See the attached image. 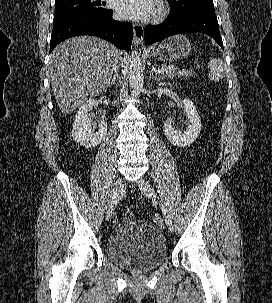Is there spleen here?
Listing matches in <instances>:
<instances>
[{
	"instance_id": "1",
	"label": "spleen",
	"mask_w": 272,
	"mask_h": 303,
	"mask_svg": "<svg viewBox=\"0 0 272 303\" xmlns=\"http://www.w3.org/2000/svg\"><path fill=\"white\" fill-rule=\"evenodd\" d=\"M208 68L210 69L209 80L219 81L225 77L226 67L220 58H211Z\"/></svg>"
}]
</instances>
